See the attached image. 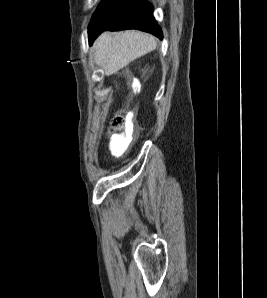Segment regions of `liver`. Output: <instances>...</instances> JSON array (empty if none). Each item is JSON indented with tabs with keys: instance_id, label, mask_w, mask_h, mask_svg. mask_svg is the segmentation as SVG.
<instances>
[{
	"instance_id": "1",
	"label": "liver",
	"mask_w": 267,
	"mask_h": 298,
	"mask_svg": "<svg viewBox=\"0 0 267 298\" xmlns=\"http://www.w3.org/2000/svg\"><path fill=\"white\" fill-rule=\"evenodd\" d=\"M156 47L155 37L137 30L104 32L95 41V63L105 75L117 73L135 59Z\"/></svg>"
}]
</instances>
